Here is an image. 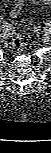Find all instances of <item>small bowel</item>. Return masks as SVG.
Wrapping results in <instances>:
<instances>
[{
	"mask_svg": "<svg viewBox=\"0 0 51 153\" xmlns=\"http://www.w3.org/2000/svg\"><path fill=\"white\" fill-rule=\"evenodd\" d=\"M26 0H15V7L11 10L10 14L11 16H13L14 14H18V12L20 11L21 7L23 6L24 2ZM30 2L36 4V3H44V4H49L51 2V0H29Z\"/></svg>",
	"mask_w": 51,
	"mask_h": 153,
	"instance_id": "small-bowel-1",
	"label": "small bowel"
}]
</instances>
